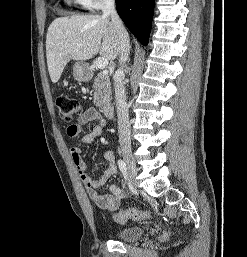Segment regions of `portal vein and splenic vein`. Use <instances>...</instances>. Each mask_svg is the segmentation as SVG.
<instances>
[{
  "label": "portal vein and splenic vein",
  "mask_w": 247,
  "mask_h": 257,
  "mask_svg": "<svg viewBox=\"0 0 247 257\" xmlns=\"http://www.w3.org/2000/svg\"><path fill=\"white\" fill-rule=\"evenodd\" d=\"M96 66L99 69H105L108 66V59L105 57H99L96 60Z\"/></svg>",
  "instance_id": "18ae733b"
}]
</instances>
